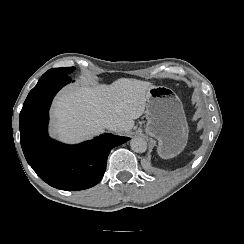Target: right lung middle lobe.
<instances>
[{
	"label": "right lung middle lobe",
	"mask_w": 244,
	"mask_h": 244,
	"mask_svg": "<svg viewBox=\"0 0 244 244\" xmlns=\"http://www.w3.org/2000/svg\"><path fill=\"white\" fill-rule=\"evenodd\" d=\"M73 70H74V67L50 69L46 73H44L42 77L47 76V75H51V74H65V75H68Z\"/></svg>",
	"instance_id": "right-lung-middle-lobe-1"
}]
</instances>
